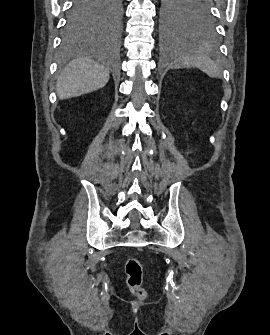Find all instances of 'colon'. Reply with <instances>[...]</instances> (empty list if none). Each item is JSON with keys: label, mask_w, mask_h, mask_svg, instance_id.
<instances>
[{"label": "colon", "mask_w": 270, "mask_h": 335, "mask_svg": "<svg viewBox=\"0 0 270 335\" xmlns=\"http://www.w3.org/2000/svg\"><path fill=\"white\" fill-rule=\"evenodd\" d=\"M126 285L132 294L142 298L145 295L143 287V272L140 261L136 257H128L125 260Z\"/></svg>", "instance_id": "colon-1"}]
</instances>
